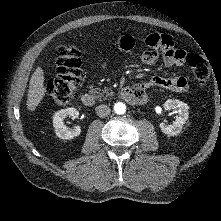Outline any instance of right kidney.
<instances>
[{"label": "right kidney", "mask_w": 221, "mask_h": 221, "mask_svg": "<svg viewBox=\"0 0 221 221\" xmlns=\"http://www.w3.org/2000/svg\"><path fill=\"white\" fill-rule=\"evenodd\" d=\"M78 115L79 112L73 107L61 109L56 112L53 116V126L55 128L56 136L60 139L71 140L80 135L81 128L79 126H76L73 129H68L63 122L67 116L78 117Z\"/></svg>", "instance_id": "right-kidney-1"}]
</instances>
